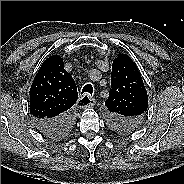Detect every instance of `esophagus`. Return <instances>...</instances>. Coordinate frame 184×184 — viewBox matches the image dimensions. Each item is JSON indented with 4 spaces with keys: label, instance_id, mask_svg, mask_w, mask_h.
Wrapping results in <instances>:
<instances>
[{
    "label": "esophagus",
    "instance_id": "esophagus-1",
    "mask_svg": "<svg viewBox=\"0 0 184 184\" xmlns=\"http://www.w3.org/2000/svg\"><path fill=\"white\" fill-rule=\"evenodd\" d=\"M95 104L96 100L88 94L82 95L77 101V105L79 108H88L94 106Z\"/></svg>",
    "mask_w": 184,
    "mask_h": 184
}]
</instances>
